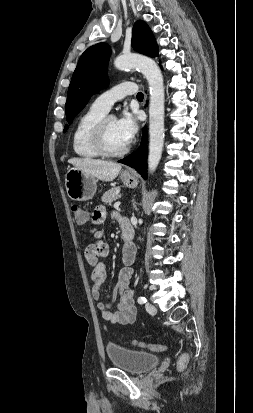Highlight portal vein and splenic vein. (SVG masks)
I'll return each mask as SVG.
<instances>
[{"label": "portal vein and splenic vein", "instance_id": "obj_1", "mask_svg": "<svg viewBox=\"0 0 253 413\" xmlns=\"http://www.w3.org/2000/svg\"><path fill=\"white\" fill-rule=\"evenodd\" d=\"M120 202H116L115 204H114V208H118L119 206H120Z\"/></svg>", "mask_w": 253, "mask_h": 413}]
</instances>
